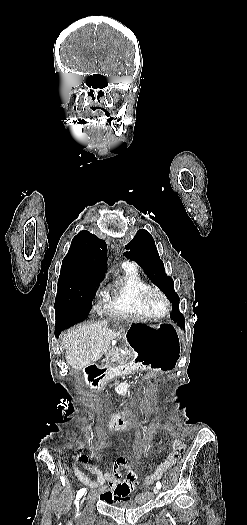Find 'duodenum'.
Listing matches in <instances>:
<instances>
[{
	"mask_svg": "<svg viewBox=\"0 0 247 525\" xmlns=\"http://www.w3.org/2000/svg\"><path fill=\"white\" fill-rule=\"evenodd\" d=\"M135 370L136 364L134 361H126L118 364L106 365L103 367H99L96 364H89L84 368L83 376L90 386L96 387L103 378L128 374ZM116 390L120 395H127L131 393V389L127 385H120Z\"/></svg>",
	"mask_w": 247,
	"mask_h": 525,
	"instance_id": "duodenum-1",
	"label": "duodenum"
}]
</instances>
